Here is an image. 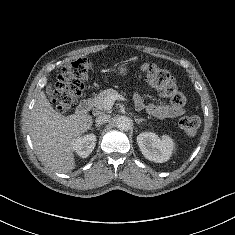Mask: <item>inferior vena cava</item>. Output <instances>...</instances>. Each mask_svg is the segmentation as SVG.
I'll use <instances>...</instances> for the list:
<instances>
[{
	"instance_id": "inferior-vena-cava-1",
	"label": "inferior vena cava",
	"mask_w": 235,
	"mask_h": 235,
	"mask_svg": "<svg viewBox=\"0 0 235 235\" xmlns=\"http://www.w3.org/2000/svg\"><path fill=\"white\" fill-rule=\"evenodd\" d=\"M111 116L110 115H107V114H102V115H99L95 122L98 124V125H102V124H105L107 123L109 120H110Z\"/></svg>"
}]
</instances>
